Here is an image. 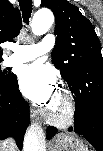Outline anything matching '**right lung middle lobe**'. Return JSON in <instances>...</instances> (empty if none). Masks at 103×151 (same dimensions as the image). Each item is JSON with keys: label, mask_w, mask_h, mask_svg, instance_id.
I'll use <instances>...</instances> for the list:
<instances>
[{"label": "right lung middle lobe", "mask_w": 103, "mask_h": 151, "mask_svg": "<svg viewBox=\"0 0 103 151\" xmlns=\"http://www.w3.org/2000/svg\"><path fill=\"white\" fill-rule=\"evenodd\" d=\"M1 61L2 59H0V62ZM16 81H17V78L15 74L11 72H7V70H1V67H0V84L1 85H10Z\"/></svg>", "instance_id": "obj_1"}]
</instances>
